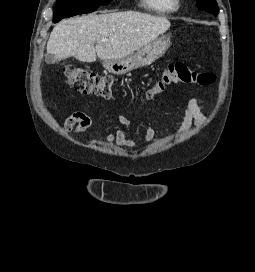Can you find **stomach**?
<instances>
[{
  "mask_svg": "<svg viewBox=\"0 0 255 272\" xmlns=\"http://www.w3.org/2000/svg\"><path fill=\"white\" fill-rule=\"evenodd\" d=\"M170 45V38L161 36L137 49L132 54L120 59L107 60L103 65L109 72L115 75H122L134 69L152 64L164 55Z\"/></svg>",
  "mask_w": 255,
  "mask_h": 272,
  "instance_id": "stomach-1",
  "label": "stomach"
}]
</instances>
